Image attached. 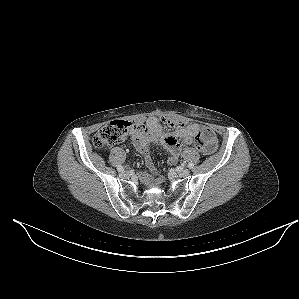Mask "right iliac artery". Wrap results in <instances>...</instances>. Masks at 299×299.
<instances>
[{"instance_id":"1","label":"right iliac artery","mask_w":299,"mask_h":299,"mask_svg":"<svg viewBox=\"0 0 299 299\" xmlns=\"http://www.w3.org/2000/svg\"><path fill=\"white\" fill-rule=\"evenodd\" d=\"M117 170H118L119 172H123V171H124V167L121 166V165H119V166L117 167Z\"/></svg>"}]
</instances>
